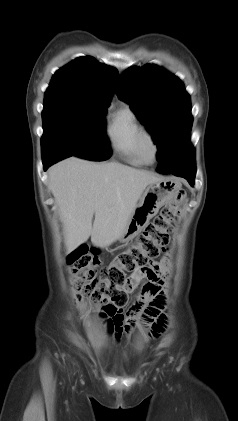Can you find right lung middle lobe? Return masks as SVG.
<instances>
[{
	"label": "right lung middle lobe",
	"mask_w": 238,
	"mask_h": 421,
	"mask_svg": "<svg viewBox=\"0 0 238 421\" xmlns=\"http://www.w3.org/2000/svg\"><path fill=\"white\" fill-rule=\"evenodd\" d=\"M108 102L82 96L45 93L42 157L50 153L103 161L111 156L105 134Z\"/></svg>",
	"instance_id": "obj_1"
}]
</instances>
